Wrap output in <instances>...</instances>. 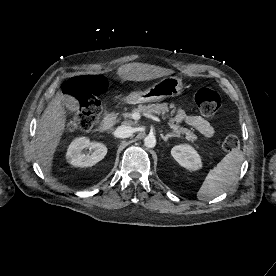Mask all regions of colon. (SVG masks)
<instances>
[{
  "label": "colon",
  "instance_id": "colon-1",
  "mask_svg": "<svg viewBox=\"0 0 276 276\" xmlns=\"http://www.w3.org/2000/svg\"><path fill=\"white\" fill-rule=\"evenodd\" d=\"M105 90V80L97 76L72 78L66 82L65 93L77 98L79 102L76 112L67 118L68 131L89 130L95 124L101 110L99 97ZM194 101L206 116H213L220 108L218 93L208 87L199 88L195 92ZM239 145V140L234 135L226 137L223 142L224 150L229 152L238 150Z\"/></svg>",
  "mask_w": 276,
  "mask_h": 276
}]
</instances>
